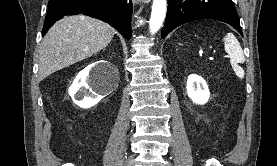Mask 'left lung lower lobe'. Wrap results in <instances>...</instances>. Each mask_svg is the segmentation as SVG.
<instances>
[{
	"mask_svg": "<svg viewBox=\"0 0 277 166\" xmlns=\"http://www.w3.org/2000/svg\"><path fill=\"white\" fill-rule=\"evenodd\" d=\"M201 19L225 22L243 36L232 0H168V11L161 37L164 39L180 25Z\"/></svg>",
	"mask_w": 277,
	"mask_h": 166,
	"instance_id": "0a47b994",
	"label": "left lung lower lobe"
}]
</instances>
